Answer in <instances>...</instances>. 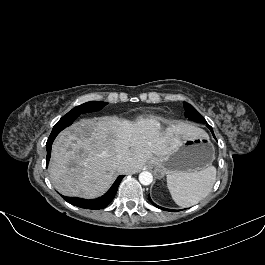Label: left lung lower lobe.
<instances>
[{"label":"left lung lower lobe","instance_id":"0a47b994","mask_svg":"<svg viewBox=\"0 0 265 265\" xmlns=\"http://www.w3.org/2000/svg\"><path fill=\"white\" fill-rule=\"evenodd\" d=\"M205 123L207 124V122H205ZM206 126L211 130V132H212V134H213V136H214V138H215V135H214V132H213L212 127H211L209 124H207ZM148 198H149V200L151 201V203H152L154 206H156V207H158V208H160V209L166 210V211H167V210H168V211H173V210H170V209H165V208H162V207L157 206L155 203L152 202L150 196H148Z\"/></svg>","mask_w":265,"mask_h":265}]
</instances>
